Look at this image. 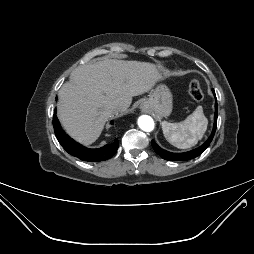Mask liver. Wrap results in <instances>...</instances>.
I'll return each instance as SVG.
<instances>
[{
	"instance_id": "6515ba94",
	"label": "liver",
	"mask_w": 254,
	"mask_h": 254,
	"mask_svg": "<svg viewBox=\"0 0 254 254\" xmlns=\"http://www.w3.org/2000/svg\"><path fill=\"white\" fill-rule=\"evenodd\" d=\"M156 65L140 61L106 59L77 67L59 90L57 115L66 132L90 145L100 136L113 107L124 106L159 81Z\"/></svg>"
}]
</instances>
